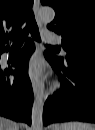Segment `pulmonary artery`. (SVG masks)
I'll return each mask as SVG.
<instances>
[{
	"label": "pulmonary artery",
	"instance_id": "e3ab8cb5",
	"mask_svg": "<svg viewBox=\"0 0 95 130\" xmlns=\"http://www.w3.org/2000/svg\"><path fill=\"white\" fill-rule=\"evenodd\" d=\"M43 39L45 41H48L51 43H56V44H59L61 42V38L57 34H55L54 32H51V31H44Z\"/></svg>",
	"mask_w": 95,
	"mask_h": 130
}]
</instances>
